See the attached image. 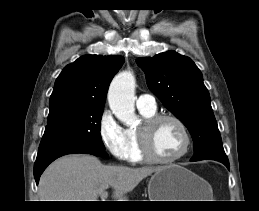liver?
<instances>
[{
	"mask_svg": "<svg viewBox=\"0 0 259 211\" xmlns=\"http://www.w3.org/2000/svg\"><path fill=\"white\" fill-rule=\"evenodd\" d=\"M162 167L103 165L98 158L86 154L59 158L42 174L38 195L40 201H98L109 186L115 201H127L125 196L144 178Z\"/></svg>",
	"mask_w": 259,
	"mask_h": 211,
	"instance_id": "obj_1",
	"label": "liver"
}]
</instances>
